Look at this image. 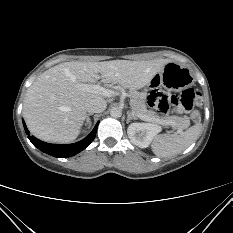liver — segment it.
Segmentation results:
<instances>
[{"label":"liver","mask_w":233,"mask_h":233,"mask_svg":"<svg viewBox=\"0 0 233 233\" xmlns=\"http://www.w3.org/2000/svg\"><path fill=\"white\" fill-rule=\"evenodd\" d=\"M170 62L167 59L148 61L111 60L104 62H65L42 74L28 88L23 116L29 131L38 139L53 143L74 141L86 119L85 100L105 97L85 88L98 79L119 84L130 90L150 84L154 76ZM100 74V75H99Z\"/></svg>","instance_id":"6515ba94"}]
</instances>
